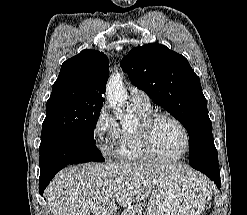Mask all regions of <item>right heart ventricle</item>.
<instances>
[{"mask_svg": "<svg viewBox=\"0 0 247 215\" xmlns=\"http://www.w3.org/2000/svg\"><path fill=\"white\" fill-rule=\"evenodd\" d=\"M131 108L141 119L151 115L150 107L142 109L131 105ZM118 143L115 156L120 160L125 162H145L152 160L141 143L138 129L122 128Z\"/></svg>", "mask_w": 247, "mask_h": 215, "instance_id": "right-heart-ventricle-1", "label": "right heart ventricle"}]
</instances>
